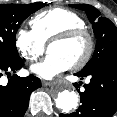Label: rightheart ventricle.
I'll return each instance as SVG.
<instances>
[{
	"instance_id": "1",
	"label": "right heart ventricle",
	"mask_w": 117,
	"mask_h": 117,
	"mask_svg": "<svg viewBox=\"0 0 117 117\" xmlns=\"http://www.w3.org/2000/svg\"><path fill=\"white\" fill-rule=\"evenodd\" d=\"M30 24L34 33L46 44L59 33L73 28H84V19L76 12L53 7L36 14Z\"/></svg>"
}]
</instances>
